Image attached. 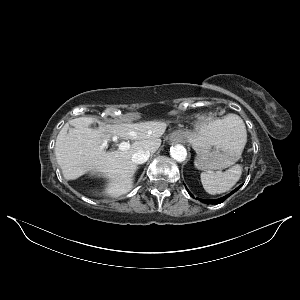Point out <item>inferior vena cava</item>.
Wrapping results in <instances>:
<instances>
[{"label":"inferior vena cava","mask_w":300,"mask_h":300,"mask_svg":"<svg viewBox=\"0 0 300 300\" xmlns=\"http://www.w3.org/2000/svg\"><path fill=\"white\" fill-rule=\"evenodd\" d=\"M150 157V151L148 150H138L136 153L132 156V162L135 164H142L146 162Z\"/></svg>","instance_id":"inferior-vena-cava-1"}]
</instances>
